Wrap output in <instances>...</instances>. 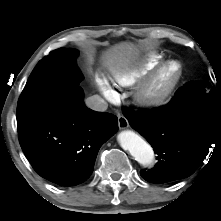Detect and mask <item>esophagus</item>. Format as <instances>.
Returning <instances> with one entry per match:
<instances>
[{
  "label": "esophagus",
  "mask_w": 221,
  "mask_h": 221,
  "mask_svg": "<svg viewBox=\"0 0 221 221\" xmlns=\"http://www.w3.org/2000/svg\"><path fill=\"white\" fill-rule=\"evenodd\" d=\"M118 125L120 129H126L129 127V122L124 116L118 117Z\"/></svg>",
  "instance_id": "esophagus-1"
}]
</instances>
